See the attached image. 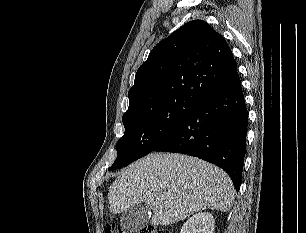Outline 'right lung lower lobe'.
<instances>
[{"instance_id":"98d812e1","label":"right lung lower lobe","mask_w":306,"mask_h":233,"mask_svg":"<svg viewBox=\"0 0 306 233\" xmlns=\"http://www.w3.org/2000/svg\"><path fill=\"white\" fill-rule=\"evenodd\" d=\"M248 114L240 80L201 102L153 151L199 157L226 171L239 191Z\"/></svg>"}]
</instances>
